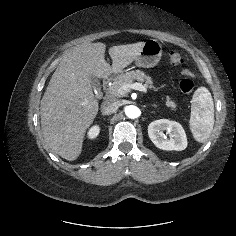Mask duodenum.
<instances>
[{
	"label": "duodenum",
	"mask_w": 236,
	"mask_h": 236,
	"mask_svg": "<svg viewBox=\"0 0 236 236\" xmlns=\"http://www.w3.org/2000/svg\"><path fill=\"white\" fill-rule=\"evenodd\" d=\"M110 77H111V74H107L105 75L104 79H103V83H104V86H106L110 80Z\"/></svg>",
	"instance_id": "duodenum-1"
}]
</instances>
